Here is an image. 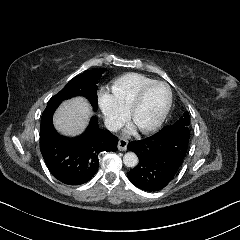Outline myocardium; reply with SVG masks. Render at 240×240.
I'll return each instance as SVG.
<instances>
[{"label":"myocardium","mask_w":240,"mask_h":240,"mask_svg":"<svg viewBox=\"0 0 240 240\" xmlns=\"http://www.w3.org/2000/svg\"><path fill=\"white\" fill-rule=\"evenodd\" d=\"M155 85H161L166 88L167 98L159 117L150 125L138 129L141 134L145 135L155 132L165 121L172 103V91L170 89V86L163 81H152L146 84L139 90L134 101L132 102L130 107L125 111L126 123L127 124L133 123L134 116L136 112L140 109L147 92L151 89V87Z\"/></svg>","instance_id":"f54148a6"}]
</instances>
